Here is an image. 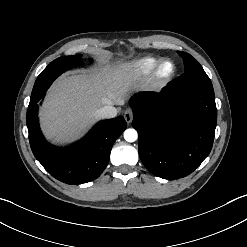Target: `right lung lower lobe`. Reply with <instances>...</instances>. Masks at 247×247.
Listing matches in <instances>:
<instances>
[{
	"label": "right lung lower lobe",
	"instance_id": "right-lung-lower-lobe-1",
	"mask_svg": "<svg viewBox=\"0 0 247 247\" xmlns=\"http://www.w3.org/2000/svg\"><path fill=\"white\" fill-rule=\"evenodd\" d=\"M29 103L27 127L32 152L41 165L57 180L81 184L97 179L106 168L111 148L126 129L119 116L101 121L82 140L67 148L51 146L44 139L38 122V101Z\"/></svg>",
	"mask_w": 247,
	"mask_h": 247
}]
</instances>
